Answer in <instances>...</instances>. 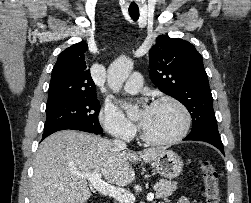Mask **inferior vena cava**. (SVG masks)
<instances>
[{
	"mask_svg": "<svg viewBox=\"0 0 251 203\" xmlns=\"http://www.w3.org/2000/svg\"><path fill=\"white\" fill-rule=\"evenodd\" d=\"M113 143L117 148L126 149V143L121 140L115 139Z\"/></svg>",
	"mask_w": 251,
	"mask_h": 203,
	"instance_id": "obj_1",
	"label": "inferior vena cava"
}]
</instances>
